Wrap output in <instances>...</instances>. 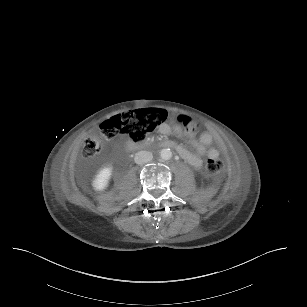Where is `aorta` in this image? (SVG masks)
<instances>
[{
    "label": "aorta",
    "instance_id": "aorta-1",
    "mask_svg": "<svg viewBox=\"0 0 307 307\" xmlns=\"http://www.w3.org/2000/svg\"><path fill=\"white\" fill-rule=\"evenodd\" d=\"M160 157L163 160H170L172 158V151L170 149H162L160 151Z\"/></svg>",
    "mask_w": 307,
    "mask_h": 307
}]
</instances>
